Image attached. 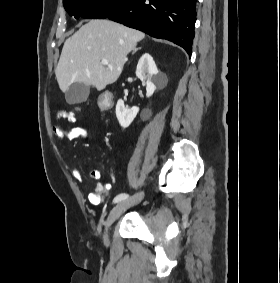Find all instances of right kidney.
Listing matches in <instances>:
<instances>
[{"mask_svg": "<svg viewBox=\"0 0 280 283\" xmlns=\"http://www.w3.org/2000/svg\"><path fill=\"white\" fill-rule=\"evenodd\" d=\"M136 76L141 81L146 80L147 97H150L157 87L166 82V76L159 73L152 56L148 53L143 54L140 58L137 64ZM138 112V107H132L129 109L125 106L123 100H118L116 105V117L123 128L129 127Z\"/></svg>", "mask_w": 280, "mask_h": 283, "instance_id": "right-kidney-1", "label": "right kidney"}]
</instances>
